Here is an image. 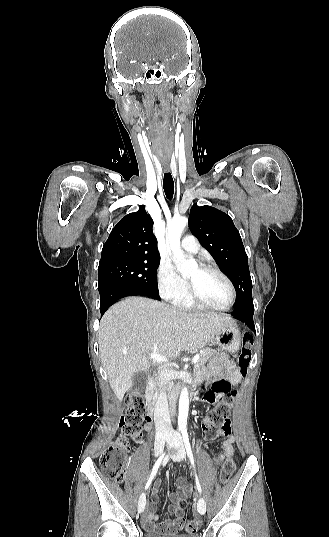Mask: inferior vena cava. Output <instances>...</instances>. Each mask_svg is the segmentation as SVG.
Listing matches in <instances>:
<instances>
[{
	"label": "inferior vena cava",
	"instance_id": "602c4592",
	"mask_svg": "<svg viewBox=\"0 0 329 537\" xmlns=\"http://www.w3.org/2000/svg\"><path fill=\"white\" fill-rule=\"evenodd\" d=\"M158 380L160 392L156 397L154 409V424L156 432L166 433L171 425L168 401L164 392L165 385L169 382V373L165 366L158 368Z\"/></svg>",
	"mask_w": 329,
	"mask_h": 537
}]
</instances>
